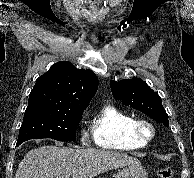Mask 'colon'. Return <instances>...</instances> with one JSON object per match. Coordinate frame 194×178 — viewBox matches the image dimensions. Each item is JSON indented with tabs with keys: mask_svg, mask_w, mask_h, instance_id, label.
<instances>
[{
	"mask_svg": "<svg viewBox=\"0 0 194 178\" xmlns=\"http://www.w3.org/2000/svg\"><path fill=\"white\" fill-rule=\"evenodd\" d=\"M159 178H173L174 170L170 167H163L158 171Z\"/></svg>",
	"mask_w": 194,
	"mask_h": 178,
	"instance_id": "obj_1",
	"label": "colon"
}]
</instances>
